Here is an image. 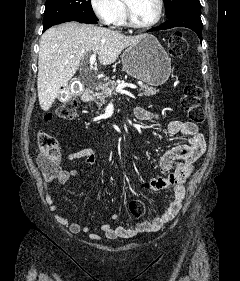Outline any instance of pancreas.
<instances>
[{
    "mask_svg": "<svg viewBox=\"0 0 240 281\" xmlns=\"http://www.w3.org/2000/svg\"><path fill=\"white\" fill-rule=\"evenodd\" d=\"M118 85V82L112 80L109 81L108 83H106L105 85H97L96 87V99H97V106L99 108L103 107L107 101H108V97L109 95V91L111 93H113L114 89L116 88V86ZM140 96L144 95V96H151V95H155L159 90L153 87H150L148 85L142 84L140 85Z\"/></svg>",
    "mask_w": 240,
    "mask_h": 281,
    "instance_id": "cf45deb5",
    "label": "pancreas"
}]
</instances>
